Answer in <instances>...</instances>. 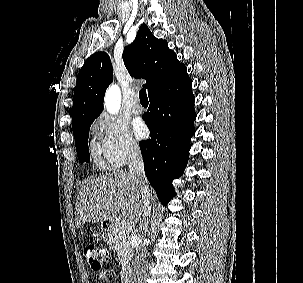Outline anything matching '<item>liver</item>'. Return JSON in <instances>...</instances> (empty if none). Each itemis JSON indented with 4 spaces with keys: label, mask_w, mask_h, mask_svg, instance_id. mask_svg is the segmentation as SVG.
<instances>
[{
    "label": "liver",
    "mask_w": 303,
    "mask_h": 283,
    "mask_svg": "<svg viewBox=\"0 0 303 283\" xmlns=\"http://www.w3.org/2000/svg\"><path fill=\"white\" fill-rule=\"evenodd\" d=\"M152 191L146 179H134L128 171L117 170L88 180L81 187L75 205L76 226L85 222L113 220L118 212L128 224H135L143 214L142 191Z\"/></svg>",
    "instance_id": "6515ba94"
}]
</instances>
